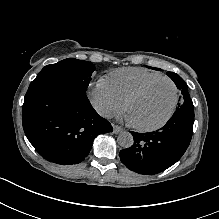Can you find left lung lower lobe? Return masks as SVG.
<instances>
[{"label":"left lung lower lobe","mask_w":219,"mask_h":219,"mask_svg":"<svg viewBox=\"0 0 219 219\" xmlns=\"http://www.w3.org/2000/svg\"><path fill=\"white\" fill-rule=\"evenodd\" d=\"M194 123V111H177L160 129L132 132L134 144L120 151L121 162L130 170L153 175L175 164L187 150Z\"/></svg>","instance_id":"0a47b994"}]
</instances>
